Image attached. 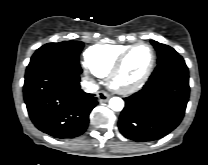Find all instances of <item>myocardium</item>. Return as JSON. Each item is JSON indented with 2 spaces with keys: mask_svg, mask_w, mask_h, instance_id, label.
<instances>
[{
  "mask_svg": "<svg viewBox=\"0 0 208 165\" xmlns=\"http://www.w3.org/2000/svg\"><path fill=\"white\" fill-rule=\"evenodd\" d=\"M145 46L150 49L151 51V60L144 71V73L134 82L131 83H122L119 81V75L121 74L125 63L129 56L132 54V52L137 49L138 47ZM156 62V52L152 45L145 43V42H139L134 45H131L128 47L122 54L118 57L116 62L114 63L113 67L111 68L110 72L108 73V84L111 89L114 91L121 93V94H130L138 89H140L149 79L154 66Z\"/></svg>",
  "mask_w": 208,
  "mask_h": 165,
  "instance_id": "f54148a6",
  "label": "myocardium"
}]
</instances>
